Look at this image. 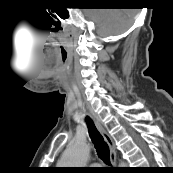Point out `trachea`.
Instances as JSON below:
<instances>
[{
	"label": "trachea",
	"instance_id": "3493384b",
	"mask_svg": "<svg viewBox=\"0 0 173 173\" xmlns=\"http://www.w3.org/2000/svg\"><path fill=\"white\" fill-rule=\"evenodd\" d=\"M86 123L90 138L95 146L98 157L105 163H110V150L108 144L97 130L94 122L89 117H86Z\"/></svg>",
	"mask_w": 173,
	"mask_h": 173
}]
</instances>
